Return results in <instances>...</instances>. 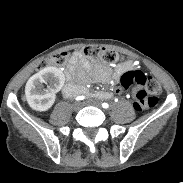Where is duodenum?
Wrapping results in <instances>:
<instances>
[{
  "label": "duodenum",
  "mask_w": 183,
  "mask_h": 183,
  "mask_svg": "<svg viewBox=\"0 0 183 183\" xmlns=\"http://www.w3.org/2000/svg\"><path fill=\"white\" fill-rule=\"evenodd\" d=\"M80 93V88L74 84H68L64 88V94L68 97L74 96Z\"/></svg>",
  "instance_id": "duodenum-1"
}]
</instances>
